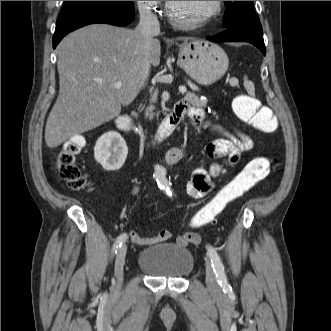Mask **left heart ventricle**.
I'll return each mask as SVG.
<instances>
[{"label": "left heart ventricle", "mask_w": 331, "mask_h": 331, "mask_svg": "<svg viewBox=\"0 0 331 331\" xmlns=\"http://www.w3.org/2000/svg\"><path fill=\"white\" fill-rule=\"evenodd\" d=\"M172 13L180 21L191 22L209 13L214 1H171Z\"/></svg>", "instance_id": "left-heart-ventricle-1"}]
</instances>
